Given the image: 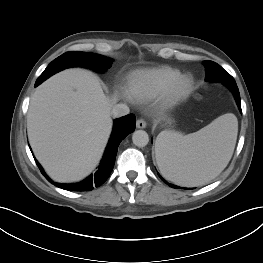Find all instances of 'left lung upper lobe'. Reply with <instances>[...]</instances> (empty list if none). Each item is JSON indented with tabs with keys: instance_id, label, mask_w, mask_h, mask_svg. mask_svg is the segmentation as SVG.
I'll list each match as a JSON object with an SVG mask.
<instances>
[{
	"instance_id": "left-lung-upper-lobe-1",
	"label": "left lung upper lobe",
	"mask_w": 263,
	"mask_h": 263,
	"mask_svg": "<svg viewBox=\"0 0 263 263\" xmlns=\"http://www.w3.org/2000/svg\"><path fill=\"white\" fill-rule=\"evenodd\" d=\"M211 81L226 83L227 81H235L234 78L227 73L222 67L215 72L214 77Z\"/></svg>"
}]
</instances>
